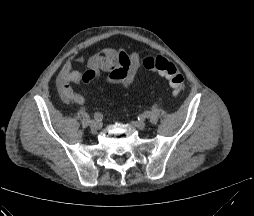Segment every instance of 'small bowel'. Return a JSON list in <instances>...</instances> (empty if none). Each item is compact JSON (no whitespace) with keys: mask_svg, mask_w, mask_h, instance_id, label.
Here are the masks:
<instances>
[{"mask_svg":"<svg viewBox=\"0 0 254 216\" xmlns=\"http://www.w3.org/2000/svg\"><path fill=\"white\" fill-rule=\"evenodd\" d=\"M140 57L135 51L130 53L122 49L105 48L93 55L88 61V68L96 73L98 80L107 84L120 85L129 88L140 69ZM102 73L106 76L102 78ZM70 82H82V72L73 69L72 61L68 60L62 66L56 80V86L61 99L68 103L85 104V97L74 91Z\"/></svg>","mask_w":254,"mask_h":216,"instance_id":"1","label":"small bowel"}]
</instances>
